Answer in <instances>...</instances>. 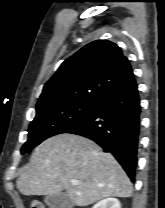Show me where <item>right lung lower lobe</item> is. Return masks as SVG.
Segmentation results:
<instances>
[{
  "label": "right lung lower lobe",
  "instance_id": "right-lung-lower-lobe-1",
  "mask_svg": "<svg viewBox=\"0 0 165 208\" xmlns=\"http://www.w3.org/2000/svg\"><path fill=\"white\" fill-rule=\"evenodd\" d=\"M140 99L133 77L102 97L91 113L66 133L87 137L110 152L134 181L140 133Z\"/></svg>",
  "mask_w": 165,
  "mask_h": 208
}]
</instances>
